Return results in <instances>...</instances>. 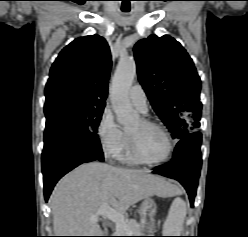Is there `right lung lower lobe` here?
Instances as JSON below:
<instances>
[{
  "label": "right lung lower lobe",
  "mask_w": 248,
  "mask_h": 237,
  "mask_svg": "<svg viewBox=\"0 0 248 237\" xmlns=\"http://www.w3.org/2000/svg\"><path fill=\"white\" fill-rule=\"evenodd\" d=\"M94 160H104L96 133L45 129L42 152L45 200H48L54 185L63 175L82 163Z\"/></svg>",
  "instance_id": "98d812e1"
}]
</instances>
